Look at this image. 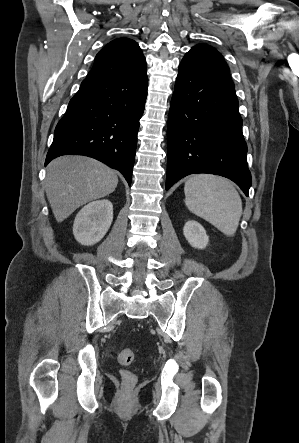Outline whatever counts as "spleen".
Masks as SVG:
<instances>
[{
  "label": "spleen",
  "mask_w": 299,
  "mask_h": 443,
  "mask_svg": "<svg viewBox=\"0 0 299 443\" xmlns=\"http://www.w3.org/2000/svg\"><path fill=\"white\" fill-rule=\"evenodd\" d=\"M184 192L186 206L191 212L227 236L235 234L242 214V202L230 181L212 175H195L185 183Z\"/></svg>",
  "instance_id": "obj_1"
}]
</instances>
